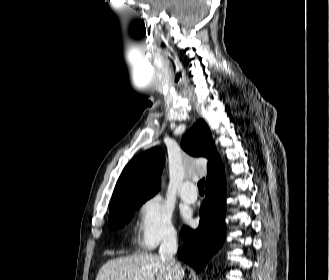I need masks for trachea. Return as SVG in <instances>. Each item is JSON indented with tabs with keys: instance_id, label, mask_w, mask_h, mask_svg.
I'll return each instance as SVG.
<instances>
[{
	"instance_id": "obj_1",
	"label": "trachea",
	"mask_w": 329,
	"mask_h": 280,
	"mask_svg": "<svg viewBox=\"0 0 329 280\" xmlns=\"http://www.w3.org/2000/svg\"><path fill=\"white\" fill-rule=\"evenodd\" d=\"M204 183H205V179L202 178L199 182H198V189L199 191H204Z\"/></svg>"
}]
</instances>
